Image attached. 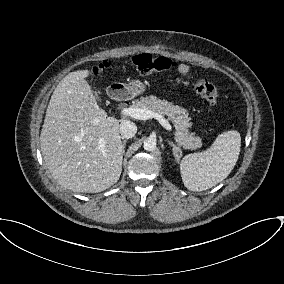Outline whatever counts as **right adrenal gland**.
<instances>
[{
	"instance_id": "obj_1",
	"label": "right adrenal gland",
	"mask_w": 284,
	"mask_h": 284,
	"mask_svg": "<svg viewBox=\"0 0 284 284\" xmlns=\"http://www.w3.org/2000/svg\"><path fill=\"white\" fill-rule=\"evenodd\" d=\"M127 139H124L122 141V148H123V153H125V145H126Z\"/></svg>"
}]
</instances>
